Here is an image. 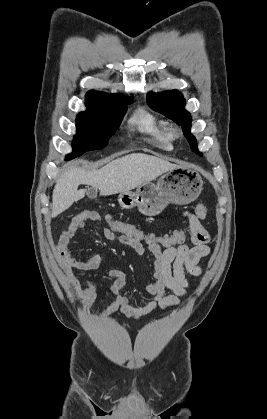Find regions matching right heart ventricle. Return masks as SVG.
<instances>
[{"label":"right heart ventricle","instance_id":"obj_1","mask_svg":"<svg viewBox=\"0 0 267 419\" xmlns=\"http://www.w3.org/2000/svg\"><path fill=\"white\" fill-rule=\"evenodd\" d=\"M129 123L159 148L164 150L172 149L173 133L170 124L160 115L141 107L134 111L129 119Z\"/></svg>","mask_w":267,"mask_h":419}]
</instances>
